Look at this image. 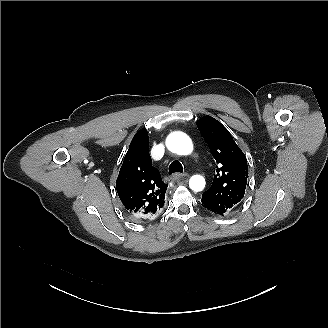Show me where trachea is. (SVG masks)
Returning <instances> with one entry per match:
<instances>
[{
	"instance_id": "trachea-1",
	"label": "trachea",
	"mask_w": 328,
	"mask_h": 328,
	"mask_svg": "<svg viewBox=\"0 0 328 328\" xmlns=\"http://www.w3.org/2000/svg\"><path fill=\"white\" fill-rule=\"evenodd\" d=\"M175 172H183V167L181 163L178 160H174L171 162L169 168H168V173L173 174Z\"/></svg>"
}]
</instances>
